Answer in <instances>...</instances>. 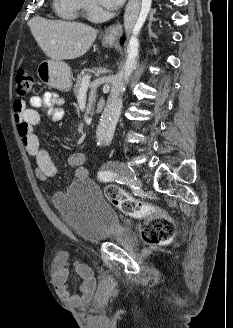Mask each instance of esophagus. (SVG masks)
I'll list each match as a JSON object with an SVG mask.
<instances>
[{
  "label": "esophagus",
  "instance_id": "34e87169",
  "mask_svg": "<svg viewBox=\"0 0 233 328\" xmlns=\"http://www.w3.org/2000/svg\"><path fill=\"white\" fill-rule=\"evenodd\" d=\"M121 31V24L119 22H116L105 29L103 37L108 40H116L119 38Z\"/></svg>",
  "mask_w": 233,
  "mask_h": 328
}]
</instances>
